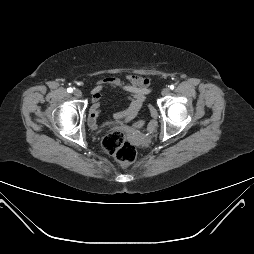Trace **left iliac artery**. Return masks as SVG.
I'll use <instances>...</instances> for the list:
<instances>
[{"instance_id":"44dca946","label":"left iliac artery","mask_w":254,"mask_h":254,"mask_svg":"<svg viewBox=\"0 0 254 254\" xmlns=\"http://www.w3.org/2000/svg\"><path fill=\"white\" fill-rule=\"evenodd\" d=\"M170 89L173 90V89H174V85H171V86H170Z\"/></svg>"}]
</instances>
